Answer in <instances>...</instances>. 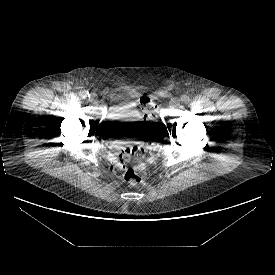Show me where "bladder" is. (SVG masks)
<instances>
[{"instance_id":"1","label":"bladder","mask_w":275,"mask_h":275,"mask_svg":"<svg viewBox=\"0 0 275 275\" xmlns=\"http://www.w3.org/2000/svg\"><path fill=\"white\" fill-rule=\"evenodd\" d=\"M106 122L112 128L127 129L130 132H141L143 117L137 109L128 102H119L111 106Z\"/></svg>"}]
</instances>
